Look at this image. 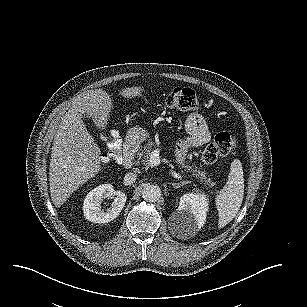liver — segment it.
I'll return each mask as SVG.
<instances>
[{
    "label": "liver",
    "instance_id": "obj_1",
    "mask_svg": "<svg viewBox=\"0 0 307 307\" xmlns=\"http://www.w3.org/2000/svg\"><path fill=\"white\" fill-rule=\"evenodd\" d=\"M143 88L127 87L120 91L125 98L141 96ZM113 107L110 95L102 90H88L78 97L63 116L54 136L49 165L50 196L60 208L80 185L101 170V150L82 120L91 117L99 129H105Z\"/></svg>",
    "mask_w": 307,
    "mask_h": 307
}]
</instances>
